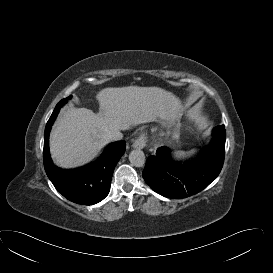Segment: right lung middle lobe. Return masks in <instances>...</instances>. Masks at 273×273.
<instances>
[{
	"mask_svg": "<svg viewBox=\"0 0 273 273\" xmlns=\"http://www.w3.org/2000/svg\"><path fill=\"white\" fill-rule=\"evenodd\" d=\"M70 98H71V96H69V97H67V98H65L63 100H64V102H67V100L70 99Z\"/></svg>",
	"mask_w": 273,
	"mask_h": 273,
	"instance_id": "right-lung-middle-lobe-1",
	"label": "right lung middle lobe"
}]
</instances>
